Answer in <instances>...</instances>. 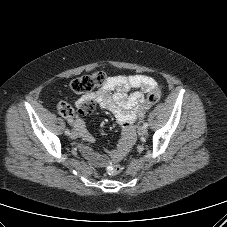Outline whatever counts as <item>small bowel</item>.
I'll use <instances>...</instances> for the list:
<instances>
[{
  "instance_id": "1",
  "label": "small bowel",
  "mask_w": 227,
  "mask_h": 227,
  "mask_svg": "<svg viewBox=\"0 0 227 227\" xmlns=\"http://www.w3.org/2000/svg\"><path fill=\"white\" fill-rule=\"evenodd\" d=\"M157 87V82L150 76L142 74L115 75L107 78L106 83L95 93L82 96L76 101L78 112L68 118L82 139L80 150L83 155L95 166H104L110 160H119L125 156L133 146L135 138L134 125L139 118V111L145 104V95ZM132 89H138L130 94ZM113 114L117 123L122 127L121 138L117 148L105 154L95 152L91 144L93 136L87 129L82 115H90L96 108Z\"/></svg>"
}]
</instances>
